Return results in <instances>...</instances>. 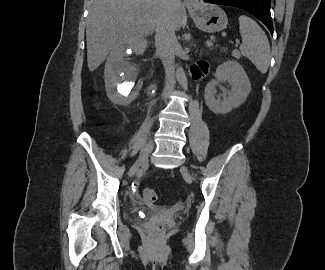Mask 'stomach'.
<instances>
[{"instance_id": "stomach-1", "label": "stomach", "mask_w": 325, "mask_h": 270, "mask_svg": "<svg viewBox=\"0 0 325 270\" xmlns=\"http://www.w3.org/2000/svg\"><path fill=\"white\" fill-rule=\"evenodd\" d=\"M190 15L196 26L208 33L222 31L228 24L225 12L215 5H199L196 9L190 10Z\"/></svg>"}]
</instances>
